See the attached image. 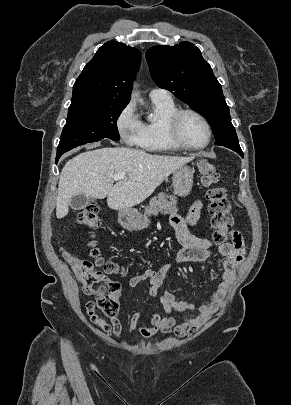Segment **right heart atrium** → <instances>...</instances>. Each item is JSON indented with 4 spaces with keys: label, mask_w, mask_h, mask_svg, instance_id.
Returning <instances> with one entry per match:
<instances>
[{
    "label": "right heart atrium",
    "mask_w": 291,
    "mask_h": 405,
    "mask_svg": "<svg viewBox=\"0 0 291 405\" xmlns=\"http://www.w3.org/2000/svg\"><path fill=\"white\" fill-rule=\"evenodd\" d=\"M116 129L125 144L138 145L141 135V121L132 103L125 105L117 115Z\"/></svg>",
    "instance_id": "d8ad5b80"
}]
</instances>
